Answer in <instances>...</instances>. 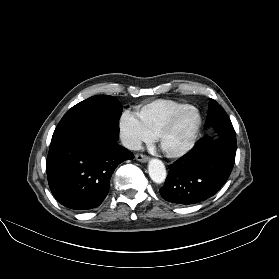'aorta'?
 <instances>
[{
	"mask_svg": "<svg viewBox=\"0 0 279 279\" xmlns=\"http://www.w3.org/2000/svg\"><path fill=\"white\" fill-rule=\"evenodd\" d=\"M148 173L150 178L155 183H162L166 179V168L163 162L159 159H150L148 163Z\"/></svg>",
	"mask_w": 279,
	"mask_h": 279,
	"instance_id": "1",
	"label": "aorta"
}]
</instances>
